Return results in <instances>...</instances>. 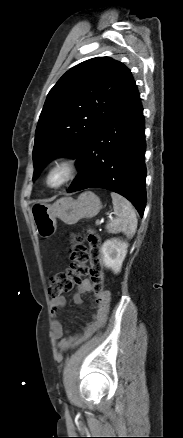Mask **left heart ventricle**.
Listing matches in <instances>:
<instances>
[{"label":"left heart ventricle","instance_id":"left-heart-ventricle-1","mask_svg":"<svg viewBox=\"0 0 183 438\" xmlns=\"http://www.w3.org/2000/svg\"><path fill=\"white\" fill-rule=\"evenodd\" d=\"M63 178L64 173L60 170H56L50 175L49 182L51 185H57L63 180Z\"/></svg>","mask_w":183,"mask_h":438}]
</instances>
